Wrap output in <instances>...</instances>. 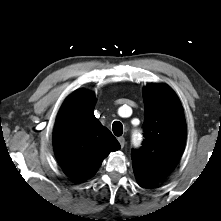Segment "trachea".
Returning a JSON list of instances; mask_svg holds the SVG:
<instances>
[{"mask_svg": "<svg viewBox=\"0 0 221 221\" xmlns=\"http://www.w3.org/2000/svg\"><path fill=\"white\" fill-rule=\"evenodd\" d=\"M113 133L116 136H121L123 134V125L119 121H115L112 125Z\"/></svg>", "mask_w": 221, "mask_h": 221, "instance_id": "trachea-1", "label": "trachea"}]
</instances>
